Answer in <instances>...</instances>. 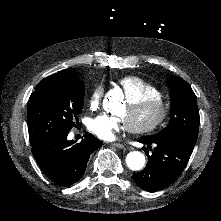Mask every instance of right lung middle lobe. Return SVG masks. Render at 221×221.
I'll list each match as a JSON object with an SVG mask.
<instances>
[{
    "mask_svg": "<svg viewBox=\"0 0 221 221\" xmlns=\"http://www.w3.org/2000/svg\"><path fill=\"white\" fill-rule=\"evenodd\" d=\"M85 87L75 72L60 71L44 78L27 108L30 144L68 135L82 112Z\"/></svg>",
    "mask_w": 221,
    "mask_h": 221,
    "instance_id": "right-lung-middle-lobe-1",
    "label": "right lung middle lobe"
}]
</instances>
